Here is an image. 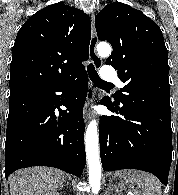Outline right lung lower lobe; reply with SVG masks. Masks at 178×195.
<instances>
[{
	"instance_id": "1",
	"label": "right lung lower lobe",
	"mask_w": 178,
	"mask_h": 195,
	"mask_svg": "<svg viewBox=\"0 0 178 195\" xmlns=\"http://www.w3.org/2000/svg\"><path fill=\"white\" fill-rule=\"evenodd\" d=\"M87 86L88 76L83 70L57 85L10 93L6 178L17 169L30 166H50L76 176L82 174L86 164L83 106ZM61 105L67 110H61Z\"/></svg>"
}]
</instances>
